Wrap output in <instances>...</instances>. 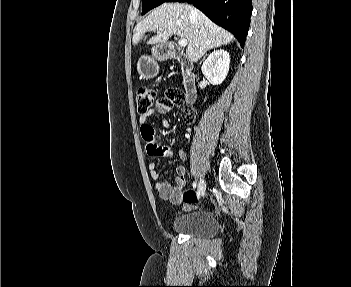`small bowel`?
<instances>
[{
  "instance_id": "1",
  "label": "small bowel",
  "mask_w": 351,
  "mask_h": 287,
  "mask_svg": "<svg viewBox=\"0 0 351 287\" xmlns=\"http://www.w3.org/2000/svg\"><path fill=\"white\" fill-rule=\"evenodd\" d=\"M188 117L194 118V113H189L187 115V118ZM150 118L159 120L161 125L166 129L172 127L168 120L159 119L153 110L141 114L139 116L140 133H142L143 142L144 145H146L143 146V151L147 152L148 156L169 159L172 157V150L168 146H162V143L157 141V132H154V122H147ZM179 156L182 160L186 159V153L183 149H179ZM148 169L151 178L155 181L154 187L158 195L163 199L170 200L174 204H180L182 202V191L186 186V167L184 165L176 167L177 177L175 179V186L160 179V174L157 170V163L155 161H151L148 164Z\"/></svg>"
}]
</instances>
